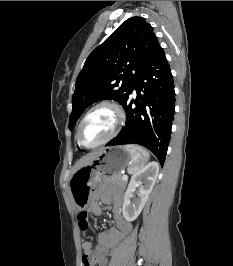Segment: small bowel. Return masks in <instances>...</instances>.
<instances>
[{
  "label": "small bowel",
  "mask_w": 233,
  "mask_h": 266,
  "mask_svg": "<svg viewBox=\"0 0 233 266\" xmlns=\"http://www.w3.org/2000/svg\"><path fill=\"white\" fill-rule=\"evenodd\" d=\"M100 199L104 203L113 202V215L115 226L107 232H101L98 235V244L93 248L92 242L86 240L82 243L83 257L82 261L85 266L86 257L91 258V265L106 266L108 262V256H110L117 244L122 238H124L131 229L130 223L122 215V199L119 196L111 197L110 195H97L96 199ZM89 211L95 215H100L102 210L96 200H94L90 206ZM89 225V224H88Z\"/></svg>",
  "instance_id": "c3829d8e"
}]
</instances>
